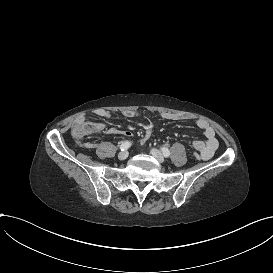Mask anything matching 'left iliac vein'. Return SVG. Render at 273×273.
Masks as SVG:
<instances>
[{"instance_id":"4c4485c4","label":"left iliac vein","mask_w":273,"mask_h":273,"mask_svg":"<svg viewBox=\"0 0 273 273\" xmlns=\"http://www.w3.org/2000/svg\"><path fill=\"white\" fill-rule=\"evenodd\" d=\"M151 154H152L160 163L164 162V157H163L162 153H161L159 150H157V149H152V150H151Z\"/></svg>"}]
</instances>
